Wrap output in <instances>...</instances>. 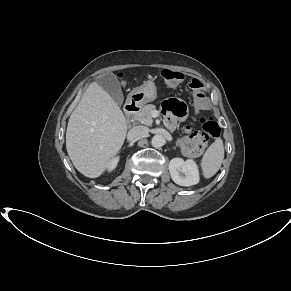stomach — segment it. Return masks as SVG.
<instances>
[{"instance_id": "obj_1", "label": "stomach", "mask_w": 291, "mask_h": 291, "mask_svg": "<svg viewBox=\"0 0 291 291\" xmlns=\"http://www.w3.org/2000/svg\"><path fill=\"white\" fill-rule=\"evenodd\" d=\"M157 97V88L153 81H146L140 87L133 89L128 100L135 105L142 106L148 102H152Z\"/></svg>"}]
</instances>
